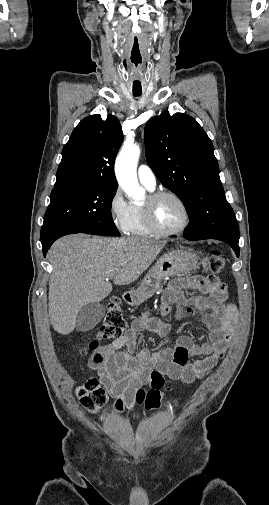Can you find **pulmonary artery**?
Segmentation results:
<instances>
[{
	"label": "pulmonary artery",
	"mask_w": 269,
	"mask_h": 505,
	"mask_svg": "<svg viewBox=\"0 0 269 505\" xmlns=\"http://www.w3.org/2000/svg\"><path fill=\"white\" fill-rule=\"evenodd\" d=\"M137 175L139 181L147 188L154 189L156 186V177L153 170L145 164L138 167Z\"/></svg>",
	"instance_id": "e3ab8cb5"
}]
</instances>
